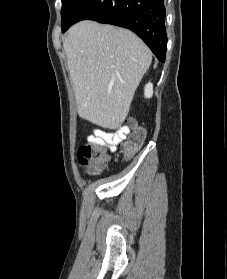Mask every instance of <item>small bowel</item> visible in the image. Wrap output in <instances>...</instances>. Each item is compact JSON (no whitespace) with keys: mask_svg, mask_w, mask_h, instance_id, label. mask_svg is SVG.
<instances>
[{"mask_svg":"<svg viewBox=\"0 0 227 279\" xmlns=\"http://www.w3.org/2000/svg\"><path fill=\"white\" fill-rule=\"evenodd\" d=\"M95 138L98 145L107 146L111 153H115L117 147L120 146L129 134V130L126 127H120L115 132H106L102 128H96L94 130Z\"/></svg>","mask_w":227,"mask_h":279,"instance_id":"small-bowel-1","label":"small bowel"}]
</instances>
